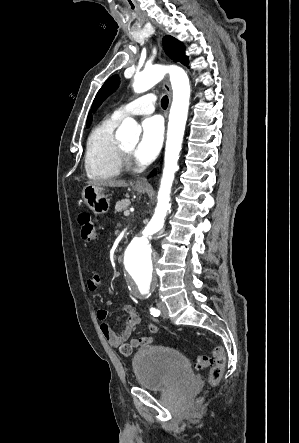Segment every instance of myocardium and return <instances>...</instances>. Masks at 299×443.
Segmentation results:
<instances>
[{
  "instance_id": "f54148a6",
  "label": "myocardium",
  "mask_w": 299,
  "mask_h": 443,
  "mask_svg": "<svg viewBox=\"0 0 299 443\" xmlns=\"http://www.w3.org/2000/svg\"><path fill=\"white\" fill-rule=\"evenodd\" d=\"M120 155L123 166H132L135 163L133 153L125 149V147L121 144H120Z\"/></svg>"
}]
</instances>
